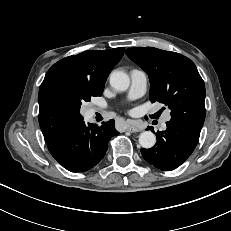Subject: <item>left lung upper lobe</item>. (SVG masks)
I'll use <instances>...</instances> for the list:
<instances>
[{
    "mask_svg": "<svg viewBox=\"0 0 231 231\" xmlns=\"http://www.w3.org/2000/svg\"><path fill=\"white\" fill-rule=\"evenodd\" d=\"M126 54L148 74L150 100L168 106L171 121L201 131L205 86L194 63L179 53L153 47L129 48Z\"/></svg>",
    "mask_w": 231,
    "mask_h": 231,
    "instance_id": "5c2ea615",
    "label": "left lung upper lobe"
}]
</instances>
